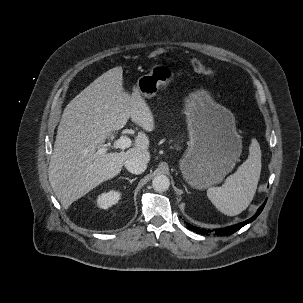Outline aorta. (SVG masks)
I'll return each instance as SVG.
<instances>
[{
    "instance_id": "aorta-1",
    "label": "aorta",
    "mask_w": 303,
    "mask_h": 303,
    "mask_svg": "<svg viewBox=\"0 0 303 303\" xmlns=\"http://www.w3.org/2000/svg\"><path fill=\"white\" fill-rule=\"evenodd\" d=\"M152 186L157 192L167 191L170 186L169 178L165 175H157L152 180Z\"/></svg>"
}]
</instances>
